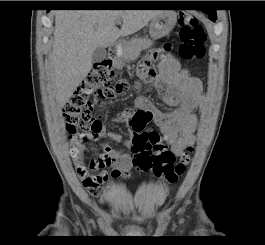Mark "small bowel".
<instances>
[{"instance_id":"small-bowel-1","label":"small bowel","mask_w":265,"mask_h":245,"mask_svg":"<svg viewBox=\"0 0 265 245\" xmlns=\"http://www.w3.org/2000/svg\"><path fill=\"white\" fill-rule=\"evenodd\" d=\"M158 57V51H151L141 60V63H147L150 67ZM157 70L156 78L151 86L161 95L162 101L174 107V110L164 114L142 96L136 99L135 106L143 110L150 120L162 130L171 151L178 157L188 147H193L195 143L197 129L195 111L204 100L203 84L199 78L192 76L187 69L183 68L173 55H167L161 59L157 64ZM132 115V110H126L121 112L116 120L125 123L132 131L129 124ZM98 133L111 141L123 142L127 149L132 147L131 140H123L122 135L116 132H106L104 126ZM78 146L81 151L74 157L76 172L83 188L92 195H99L100 186L109 180H118L130 175L132 157L129 152L111 149L104 151L98 157L87 160L85 153L92 151L94 146L80 143ZM107 168L111 170L107 171Z\"/></svg>"}]
</instances>
